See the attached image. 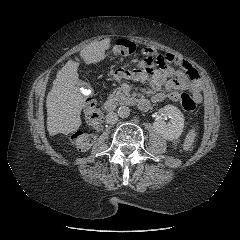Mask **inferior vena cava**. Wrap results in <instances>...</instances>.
Wrapping results in <instances>:
<instances>
[{
	"instance_id": "602c4592",
	"label": "inferior vena cava",
	"mask_w": 240,
	"mask_h": 240,
	"mask_svg": "<svg viewBox=\"0 0 240 240\" xmlns=\"http://www.w3.org/2000/svg\"><path fill=\"white\" fill-rule=\"evenodd\" d=\"M106 121L108 124H115L118 121V115L114 112H109L106 115Z\"/></svg>"
}]
</instances>
